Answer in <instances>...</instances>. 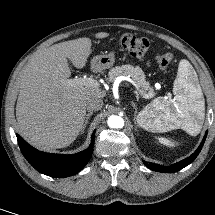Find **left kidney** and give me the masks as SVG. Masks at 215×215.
I'll list each match as a JSON object with an SVG mask.
<instances>
[{
    "instance_id": "obj_1",
    "label": "left kidney",
    "mask_w": 215,
    "mask_h": 215,
    "mask_svg": "<svg viewBox=\"0 0 215 215\" xmlns=\"http://www.w3.org/2000/svg\"><path fill=\"white\" fill-rule=\"evenodd\" d=\"M159 142L166 145V146H174L175 143L166 139V138H159Z\"/></svg>"
}]
</instances>
